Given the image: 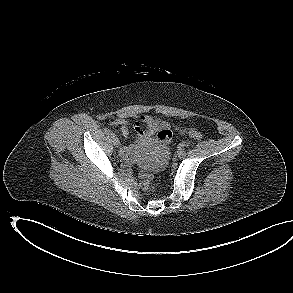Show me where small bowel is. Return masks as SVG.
Here are the masks:
<instances>
[{
    "mask_svg": "<svg viewBox=\"0 0 293 293\" xmlns=\"http://www.w3.org/2000/svg\"><path fill=\"white\" fill-rule=\"evenodd\" d=\"M140 121L141 122L135 123L134 126L136 138L139 142L148 141L159 130L169 127L167 122L156 119L149 115L141 116ZM142 124L145 126V128L142 127ZM110 125L119 128V131L123 136H127L129 134L128 121L126 119L117 118L111 121ZM180 131L183 132L182 129Z\"/></svg>",
    "mask_w": 293,
    "mask_h": 293,
    "instance_id": "small-bowel-1",
    "label": "small bowel"
}]
</instances>
